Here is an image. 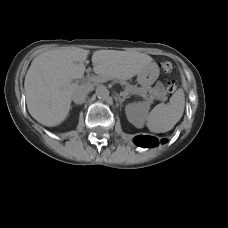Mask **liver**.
<instances>
[{
    "mask_svg": "<svg viewBox=\"0 0 228 228\" xmlns=\"http://www.w3.org/2000/svg\"><path fill=\"white\" fill-rule=\"evenodd\" d=\"M88 50L66 48L38 55L27 71L24 89L30 115L44 126L61 124L71 108L72 84L85 72ZM93 71L105 80H129L152 64L142 53L98 50L92 55ZM89 88L88 85H83Z\"/></svg>",
    "mask_w": 228,
    "mask_h": 228,
    "instance_id": "liver-1",
    "label": "liver"
}]
</instances>
